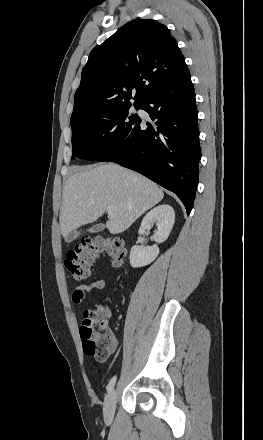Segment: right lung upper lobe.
Masks as SVG:
<instances>
[{
    "mask_svg": "<svg viewBox=\"0 0 263 440\" xmlns=\"http://www.w3.org/2000/svg\"><path fill=\"white\" fill-rule=\"evenodd\" d=\"M187 69L176 40L151 19L126 23L90 53L74 96L71 124L98 110L135 103L168 84Z\"/></svg>",
    "mask_w": 263,
    "mask_h": 440,
    "instance_id": "right-lung-upper-lobe-1",
    "label": "right lung upper lobe"
}]
</instances>
